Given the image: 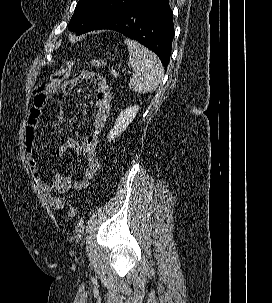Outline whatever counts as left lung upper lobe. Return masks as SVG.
I'll return each mask as SVG.
<instances>
[{"mask_svg": "<svg viewBox=\"0 0 272 303\" xmlns=\"http://www.w3.org/2000/svg\"><path fill=\"white\" fill-rule=\"evenodd\" d=\"M141 0H79L68 27L77 35L92 31L99 24Z\"/></svg>", "mask_w": 272, "mask_h": 303, "instance_id": "5c2ea615", "label": "left lung upper lobe"}]
</instances>
